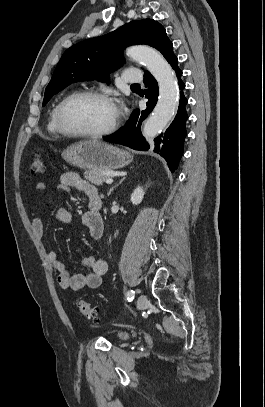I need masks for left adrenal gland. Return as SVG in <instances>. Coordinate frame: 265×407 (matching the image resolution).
<instances>
[{
	"mask_svg": "<svg viewBox=\"0 0 265 407\" xmlns=\"http://www.w3.org/2000/svg\"><path fill=\"white\" fill-rule=\"evenodd\" d=\"M124 179H125V177H123L122 180H121L116 186L110 188V190H109V192H108V195H110L111 192L114 190V188H116L120 183H122Z\"/></svg>",
	"mask_w": 265,
	"mask_h": 407,
	"instance_id": "obj_1",
	"label": "left adrenal gland"
}]
</instances>
